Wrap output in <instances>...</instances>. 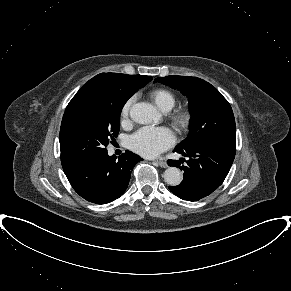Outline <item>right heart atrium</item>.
Wrapping results in <instances>:
<instances>
[{
    "label": "right heart atrium",
    "mask_w": 291,
    "mask_h": 291,
    "mask_svg": "<svg viewBox=\"0 0 291 291\" xmlns=\"http://www.w3.org/2000/svg\"><path fill=\"white\" fill-rule=\"evenodd\" d=\"M133 102H134V98L130 97L125 101V103L121 107V110H120L121 123H126L128 121L130 110H131V107L133 105Z\"/></svg>",
    "instance_id": "right-heart-atrium-1"
}]
</instances>
